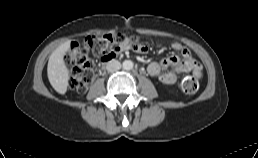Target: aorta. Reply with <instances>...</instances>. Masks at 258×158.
I'll list each match as a JSON object with an SVG mask.
<instances>
[{
  "instance_id": "762f6f07",
  "label": "aorta",
  "mask_w": 258,
  "mask_h": 158,
  "mask_svg": "<svg viewBox=\"0 0 258 158\" xmlns=\"http://www.w3.org/2000/svg\"><path fill=\"white\" fill-rule=\"evenodd\" d=\"M123 69L125 70H131L134 66L133 62L131 60H125L122 64Z\"/></svg>"
}]
</instances>
